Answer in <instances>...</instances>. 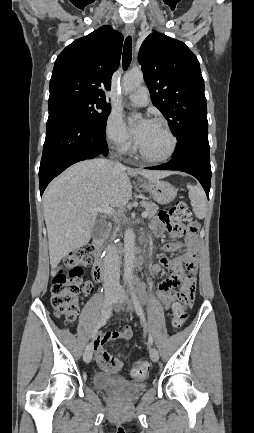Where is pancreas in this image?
I'll list each match as a JSON object with an SVG mask.
<instances>
[{
  "label": "pancreas",
  "instance_id": "cf45deb5",
  "mask_svg": "<svg viewBox=\"0 0 254 433\" xmlns=\"http://www.w3.org/2000/svg\"><path fill=\"white\" fill-rule=\"evenodd\" d=\"M141 206H143L146 209L147 217H149V218L153 217L158 210V206L154 202H151V201H142ZM118 230H119V227L116 228V232Z\"/></svg>",
  "mask_w": 254,
  "mask_h": 433
}]
</instances>
